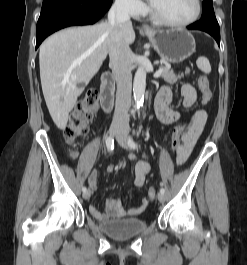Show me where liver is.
<instances>
[{
  "label": "liver",
  "mask_w": 247,
  "mask_h": 265,
  "mask_svg": "<svg viewBox=\"0 0 247 265\" xmlns=\"http://www.w3.org/2000/svg\"><path fill=\"white\" fill-rule=\"evenodd\" d=\"M122 34L128 45L135 41L132 27L123 29ZM110 38L109 23L102 22L61 30L40 46L42 91L59 129H65L77 98L99 71L109 53Z\"/></svg>",
  "instance_id": "obj_1"
}]
</instances>
